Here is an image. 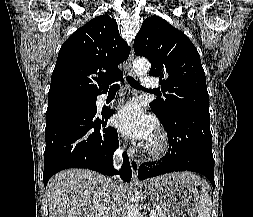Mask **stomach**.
<instances>
[{"mask_svg": "<svg viewBox=\"0 0 253 217\" xmlns=\"http://www.w3.org/2000/svg\"><path fill=\"white\" fill-rule=\"evenodd\" d=\"M152 200L159 203L167 217H196L200 205L199 194L191 183L174 176L164 175L161 179L145 185Z\"/></svg>", "mask_w": 253, "mask_h": 217, "instance_id": "1", "label": "stomach"}]
</instances>
